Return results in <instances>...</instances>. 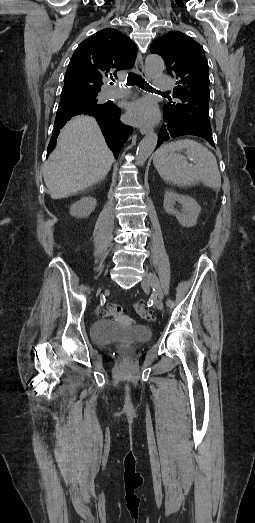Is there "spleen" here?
<instances>
[{"label":"spleen","instance_id":"spleen-1","mask_svg":"<svg viewBox=\"0 0 255 523\" xmlns=\"http://www.w3.org/2000/svg\"><path fill=\"white\" fill-rule=\"evenodd\" d=\"M182 150H185L194 166L187 162L185 156L178 154ZM153 164L161 178L169 184L187 188L202 182L204 186L215 190L220 186L221 176L214 154L194 140H177L164 144L156 150Z\"/></svg>","mask_w":255,"mask_h":523}]
</instances>
